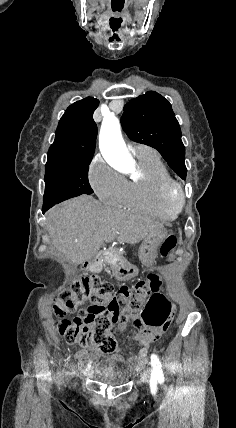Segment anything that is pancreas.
<instances>
[{"label":"pancreas","mask_w":236,"mask_h":428,"mask_svg":"<svg viewBox=\"0 0 236 428\" xmlns=\"http://www.w3.org/2000/svg\"><path fill=\"white\" fill-rule=\"evenodd\" d=\"M112 252H114V250H112ZM114 254H117V256H120V258H123L122 252H114ZM94 270H95V272H102V270H103L102 262H95Z\"/></svg>","instance_id":"1"}]
</instances>
